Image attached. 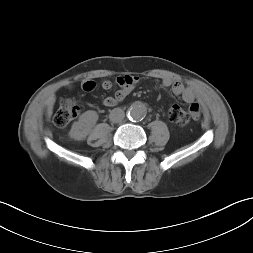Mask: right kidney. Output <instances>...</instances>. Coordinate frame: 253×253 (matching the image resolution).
Segmentation results:
<instances>
[{
    "instance_id": "ca27d5eb",
    "label": "right kidney",
    "mask_w": 253,
    "mask_h": 253,
    "mask_svg": "<svg viewBox=\"0 0 253 253\" xmlns=\"http://www.w3.org/2000/svg\"><path fill=\"white\" fill-rule=\"evenodd\" d=\"M98 120L96 111L84 112L77 122H74L69 132V136L75 140H84Z\"/></svg>"
}]
</instances>
